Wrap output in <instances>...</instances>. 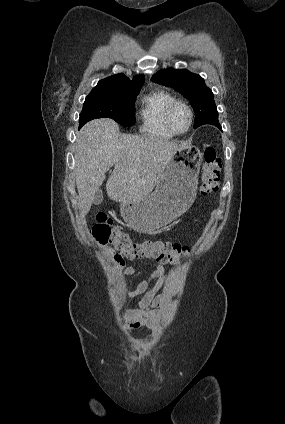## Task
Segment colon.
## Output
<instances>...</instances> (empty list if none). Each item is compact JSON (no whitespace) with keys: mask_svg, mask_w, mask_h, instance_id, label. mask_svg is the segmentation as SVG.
<instances>
[{"mask_svg":"<svg viewBox=\"0 0 285 424\" xmlns=\"http://www.w3.org/2000/svg\"><path fill=\"white\" fill-rule=\"evenodd\" d=\"M203 160L199 190L202 195H211L219 189L222 160L210 147L203 151ZM90 234L106 248L107 255L116 267L123 266L125 260L143 258L154 259L161 264H175L189 253V248L179 243L160 240L134 241L106 216L97 217Z\"/></svg>","mask_w":285,"mask_h":424,"instance_id":"1","label":"colon"}]
</instances>
